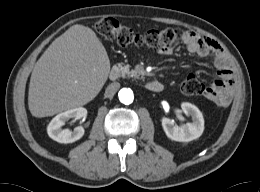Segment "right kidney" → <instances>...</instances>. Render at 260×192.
<instances>
[{
  "label": "right kidney",
  "mask_w": 260,
  "mask_h": 192,
  "mask_svg": "<svg viewBox=\"0 0 260 192\" xmlns=\"http://www.w3.org/2000/svg\"><path fill=\"white\" fill-rule=\"evenodd\" d=\"M87 116V110L84 107H76L69 109L63 113L56 115L47 127V133L50 138L59 143H73L79 140L84 135V129L81 126L70 129H62V126L71 119H85Z\"/></svg>",
  "instance_id": "obj_1"
}]
</instances>
